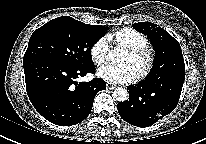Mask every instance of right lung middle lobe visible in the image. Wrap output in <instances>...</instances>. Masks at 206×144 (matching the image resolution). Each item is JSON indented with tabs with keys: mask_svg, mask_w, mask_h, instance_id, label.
Wrapping results in <instances>:
<instances>
[{
	"mask_svg": "<svg viewBox=\"0 0 206 144\" xmlns=\"http://www.w3.org/2000/svg\"><path fill=\"white\" fill-rule=\"evenodd\" d=\"M105 30V26L88 25L69 16L58 17L33 32L23 61L46 59L74 68L92 65L91 49Z\"/></svg>",
	"mask_w": 206,
	"mask_h": 144,
	"instance_id": "dd1d6c3e",
	"label": "right lung middle lobe"
}]
</instances>
